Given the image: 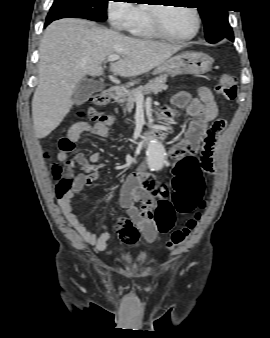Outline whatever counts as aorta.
<instances>
[{"label":"aorta","mask_w":270,"mask_h":338,"mask_svg":"<svg viewBox=\"0 0 270 338\" xmlns=\"http://www.w3.org/2000/svg\"><path fill=\"white\" fill-rule=\"evenodd\" d=\"M165 150L163 145L154 140L150 143L147 150V165L151 171H157L165 165Z\"/></svg>","instance_id":"762f6f07"}]
</instances>
